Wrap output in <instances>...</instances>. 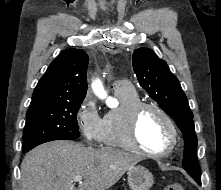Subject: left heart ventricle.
<instances>
[{
    "label": "left heart ventricle",
    "instance_id": "1",
    "mask_svg": "<svg viewBox=\"0 0 221 190\" xmlns=\"http://www.w3.org/2000/svg\"><path fill=\"white\" fill-rule=\"evenodd\" d=\"M138 138L145 148L161 151L169 146L171 131L164 118L157 111L146 109L139 118Z\"/></svg>",
    "mask_w": 221,
    "mask_h": 190
}]
</instances>
